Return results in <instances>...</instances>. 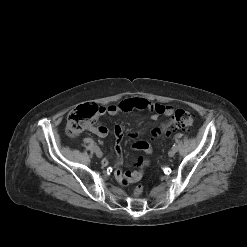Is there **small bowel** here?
<instances>
[{"mask_svg": "<svg viewBox=\"0 0 247 247\" xmlns=\"http://www.w3.org/2000/svg\"><path fill=\"white\" fill-rule=\"evenodd\" d=\"M135 109H139V110L147 109L151 111L152 112L151 119L153 121L158 120L160 115L171 116L174 112V109L171 106L154 103L141 97H133V98H126L120 101L118 104L109 105L106 107H100L98 115L102 116L106 113L110 115H117L121 112H130ZM89 130L93 134L99 137H105L109 133V130L104 126L91 125L89 126ZM113 133L116 138V143H115L116 163L114 167V176L116 180L121 185L124 186L139 181L143 175V168L148 165V161L146 159L139 158L136 163V166L139 168L138 170L124 171L122 168L123 153L121 146L122 135H123L122 125L117 124L113 129ZM130 137L136 139L138 137V134L135 133L131 134ZM133 148L136 150H142L147 154L151 153V148L149 144L143 140L136 141L133 144ZM102 163L104 166L109 165V159L105 158Z\"/></svg>", "mask_w": 247, "mask_h": 247, "instance_id": "c3829d8e", "label": "small bowel"}]
</instances>
